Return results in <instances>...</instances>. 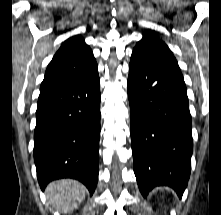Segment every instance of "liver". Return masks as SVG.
I'll use <instances>...</instances> for the list:
<instances>
[{"mask_svg": "<svg viewBox=\"0 0 221 215\" xmlns=\"http://www.w3.org/2000/svg\"><path fill=\"white\" fill-rule=\"evenodd\" d=\"M83 184L72 179L53 181L46 187L47 201L54 209L62 214L75 210L86 197Z\"/></svg>", "mask_w": 221, "mask_h": 215, "instance_id": "6515ba94", "label": "liver"}]
</instances>
